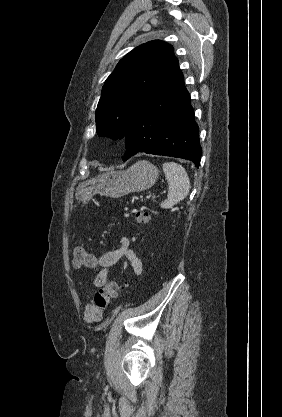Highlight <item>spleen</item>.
I'll return each mask as SVG.
<instances>
[{
    "label": "spleen",
    "instance_id": "1",
    "mask_svg": "<svg viewBox=\"0 0 282 417\" xmlns=\"http://www.w3.org/2000/svg\"><path fill=\"white\" fill-rule=\"evenodd\" d=\"M163 172L169 184L166 200L161 202V209H173L174 204L185 198L189 192V176L182 164L178 162H164Z\"/></svg>",
    "mask_w": 282,
    "mask_h": 417
}]
</instances>
